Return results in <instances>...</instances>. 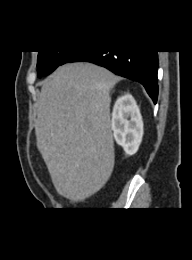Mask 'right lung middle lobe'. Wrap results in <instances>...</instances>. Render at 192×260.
<instances>
[{
    "instance_id": "1",
    "label": "right lung middle lobe",
    "mask_w": 192,
    "mask_h": 260,
    "mask_svg": "<svg viewBox=\"0 0 192 260\" xmlns=\"http://www.w3.org/2000/svg\"><path fill=\"white\" fill-rule=\"evenodd\" d=\"M68 51H39L37 71L38 77H43L54 71L69 54Z\"/></svg>"
}]
</instances>
